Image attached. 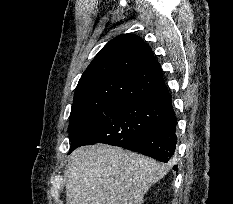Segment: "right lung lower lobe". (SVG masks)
Instances as JSON below:
<instances>
[{
  "instance_id": "98d812e1",
  "label": "right lung lower lobe",
  "mask_w": 233,
  "mask_h": 204,
  "mask_svg": "<svg viewBox=\"0 0 233 204\" xmlns=\"http://www.w3.org/2000/svg\"><path fill=\"white\" fill-rule=\"evenodd\" d=\"M152 104L163 118V124L154 131L129 139H123L115 146L136 151L166 163L173 157L177 143V121L169 91L165 90L158 96L152 98ZM174 170H177V166H174Z\"/></svg>"
}]
</instances>
